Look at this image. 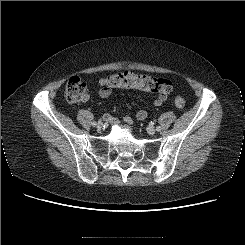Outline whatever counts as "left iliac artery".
I'll list each match as a JSON object with an SVG mask.
<instances>
[{"label":"left iliac artery","instance_id":"1","mask_svg":"<svg viewBox=\"0 0 245 245\" xmlns=\"http://www.w3.org/2000/svg\"><path fill=\"white\" fill-rule=\"evenodd\" d=\"M151 124L153 125L154 124V122H151ZM157 131H160L161 129H160V127H157V129H156Z\"/></svg>","mask_w":245,"mask_h":245}]
</instances>
